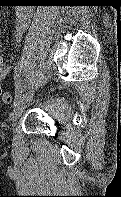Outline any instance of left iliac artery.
<instances>
[{
    "instance_id": "left-iliac-artery-1",
    "label": "left iliac artery",
    "mask_w": 121,
    "mask_h": 197,
    "mask_svg": "<svg viewBox=\"0 0 121 197\" xmlns=\"http://www.w3.org/2000/svg\"><path fill=\"white\" fill-rule=\"evenodd\" d=\"M27 59L26 57H22L19 62L16 64L14 69V79H15V102L14 106L19 102L24 92V87L22 85L21 76L23 70L26 66Z\"/></svg>"
}]
</instances>
